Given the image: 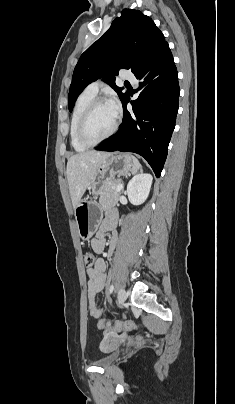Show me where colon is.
<instances>
[{"instance_id":"obj_1","label":"colon","mask_w":235,"mask_h":404,"mask_svg":"<svg viewBox=\"0 0 235 404\" xmlns=\"http://www.w3.org/2000/svg\"><path fill=\"white\" fill-rule=\"evenodd\" d=\"M96 258L92 253H86L84 255V262L87 267H92L95 264ZM99 328H106V327H116L118 329H129V330H134L137 328V325L133 322H123L119 323L117 325L112 324L110 321L104 320V319H99L97 323Z\"/></svg>"}]
</instances>
